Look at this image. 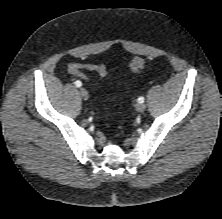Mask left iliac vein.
Returning <instances> with one entry per match:
<instances>
[{"mask_svg":"<svg viewBox=\"0 0 222 219\" xmlns=\"http://www.w3.org/2000/svg\"><path fill=\"white\" fill-rule=\"evenodd\" d=\"M135 109L138 112H143L146 109V105L144 103L139 102L135 105Z\"/></svg>","mask_w":222,"mask_h":219,"instance_id":"left-iliac-vein-1","label":"left iliac vein"}]
</instances>
